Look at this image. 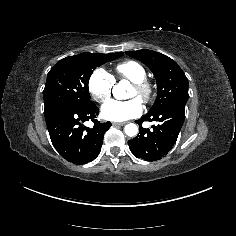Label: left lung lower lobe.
Wrapping results in <instances>:
<instances>
[{"instance_id": "left-lung-lower-lobe-1", "label": "left lung lower lobe", "mask_w": 236, "mask_h": 236, "mask_svg": "<svg viewBox=\"0 0 236 236\" xmlns=\"http://www.w3.org/2000/svg\"><path fill=\"white\" fill-rule=\"evenodd\" d=\"M185 101H174L166 107L147 113L136 122L140 133L128 141L135 157L146 161H157L164 157L177 141L185 118ZM144 121H153V129L142 127Z\"/></svg>"}]
</instances>
